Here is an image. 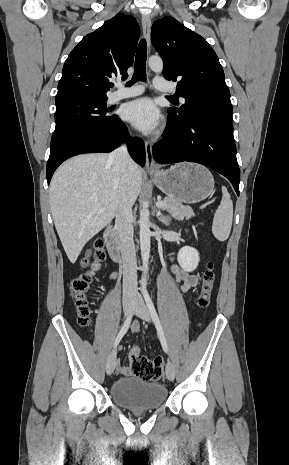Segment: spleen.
I'll use <instances>...</instances> for the list:
<instances>
[{
	"label": "spleen",
	"mask_w": 289,
	"mask_h": 465,
	"mask_svg": "<svg viewBox=\"0 0 289 465\" xmlns=\"http://www.w3.org/2000/svg\"><path fill=\"white\" fill-rule=\"evenodd\" d=\"M222 199L218 206L212 224V233L219 241L228 239L233 221V202L225 186L222 187Z\"/></svg>",
	"instance_id": "obj_1"
}]
</instances>
